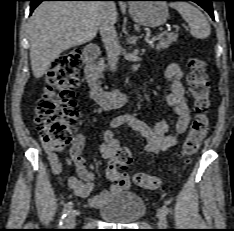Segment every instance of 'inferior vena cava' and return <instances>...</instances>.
Masks as SVG:
<instances>
[{
    "label": "inferior vena cava",
    "instance_id": "602c4592",
    "mask_svg": "<svg viewBox=\"0 0 234 231\" xmlns=\"http://www.w3.org/2000/svg\"><path fill=\"white\" fill-rule=\"evenodd\" d=\"M112 3L113 2L111 1H106L105 5L109 6ZM97 26L100 31L102 41L105 45L110 70L115 72L117 70L120 55V45L115 27L106 14H103L99 18Z\"/></svg>",
    "mask_w": 234,
    "mask_h": 231
}]
</instances>
